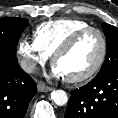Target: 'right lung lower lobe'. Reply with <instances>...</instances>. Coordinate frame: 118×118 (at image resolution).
Listing matches in <instances>:
<instances>
[{"instance_id":"obj_1","label":"right lung lower lobe","mask_w":118,"mask_h":118,"mask_svg":"<svg viewBox=\"0 0 118 118\" xmlns=\"http://www.w3.org/2000/svg\"><path fill=\"white\" fill-rule=\"evenodd\" d=\"M36 92V83L16 57L0 56V118H23Z\"/></svg>"}]
</instances>
